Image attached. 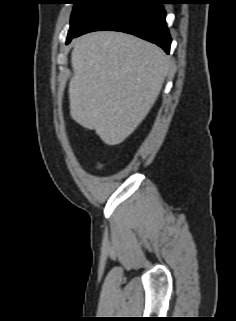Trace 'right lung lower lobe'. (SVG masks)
Instances as JSON below:
<instances>
[{
    "label": "right lung lower lobe",
    "mask_w": 236,
    "mask_h": 321,
    "mask_svg": "<svg viewBox=\"0 0 236 321\" xmlns=\"http://www.w3.org/2000/svg\"><path fill=\"white\" fill-rule=\"evenodd\" d=\"M162 0H108L67 40L98 30L133 34L170 51L171 38L165 21Z\"/></svg>",
    "instance_id": "obj_1"
}]
</instances>
